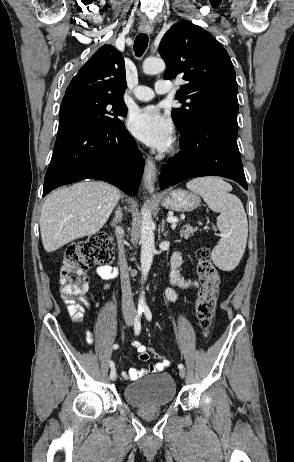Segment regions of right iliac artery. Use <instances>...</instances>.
I'll list each match as a JSON object with an SVG mask.
<instances>
[{
    "instance_id": "obj_1",
    "label": "right iliac artery",
    "mask_w": 294,
    "mask_h": 462,
    "mask_svg": "<svg viewBox=\"0 0 294 462\" xmlns=\"http://www.w3.org/2000/svg\"><path fill=\"white\" fill-rule=\"evenodd\" d=\"M142 311H143V309L139 308L137 313H136V317H135V321H134V332H135L136 335H138L140 333V330H141L140 317H141ZM118 348H119L118 344L113 345V349H118ZM109 365H110V368H111L110 378L112 379V378H114L116 376L115 364H114L113 361H110Z\"/></svg>"
}]
</instances>
